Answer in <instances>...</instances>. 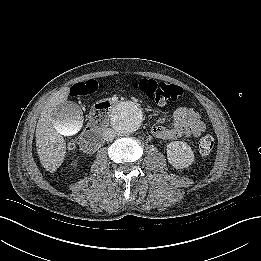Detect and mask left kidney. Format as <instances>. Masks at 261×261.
<instances>
[{
    "instance_id": "obj_1",
    "label": "left kidney",
    "mask_w": 261,
    "mask_h": 261,
    "mask_svg": "<svg viewBox=\"0 0 261 261\" xmlns=\"http://www.w3.org/2000/svg\"><path fill=\"white\" fill-rule=\"evenodd\" d=\"M168 162L176 169L189 167L194 162V152L183 141H174L167 145Z\"/></svg>"
}]
</instances>
